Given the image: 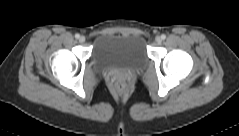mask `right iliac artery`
Instances as JSON below:
<instances>
[{
	"label": "right iliac artery",
	"instance_id": "obj_1",
	"mask_svg": "<svg viewBox=\"0 0 239 136\" xmlns=\"http://www.w3.org/2000/svg\"><path fill=\"white\" fill-rule=\"evenodd\" d=\"M79 37H80V35L77 33V34H75V38L76 39H79Z\"/></svg>",
	"mask_w": 239,
	"mask_h": 136
}]
</instances>
